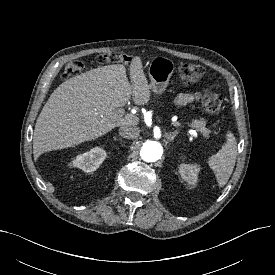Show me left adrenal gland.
Listing matches in <instances>:
<instances>
[{
    "label": "left adrenal gland",
    "mask_w": 275,
    "mask_h": 275,
    "mask_svg": "<svg viewBox=\"0 0 275 275\" xmlns=\"http://www.w3.org/2000/svg\"><path fill=\"white\" fill-rule=\"evenodd\" d=\"M179 131H174V132H170L169 134L166 135V138L169 140V141H173L174 138L176 137V135H178Z\"/></svg>",
    "instance_id": "obj_1"
}]
</instances>
